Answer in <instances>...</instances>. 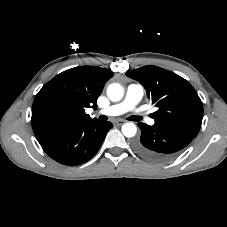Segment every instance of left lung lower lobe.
Listing matches in <instances>:
<instances>
[{"mask_svg":"<svg viewBox=\"0 0 227 227\" xmlns=\"http://www.w3.org/2000/svg\"><path fill=\"white\" fill-rule=\"evenodd\" d=\"M141 137L134 143L135 151L147 160L165 162L186 147L195 136L175 128L138 123Z\"/></svg>","mask_w":227,"mask_h":227,"instance_id":"obj_1","label":"left lung lower lobe"}]
</instances>
